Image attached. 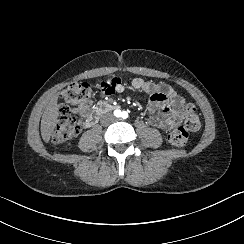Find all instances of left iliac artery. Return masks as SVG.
I'll list each match as a JSON object with an SVG mask.
<instances>
[{
	"instance_id": "44dca946",
	"label": "left iliac artery",
	"mask_w": 244,
	"mask_h": 244,
	"mask_svg": "<svg viewBox=\"0 0 244 244\" xmlns=\"http://www.w3.org/2000/svg\"><path fill=\"white\" fill-rule=\"evenodd\" d=\"M128 112H126V111H123L122 112V114H121V117L123 118V119H126V118H128Z\"/></svg>"
}]
</instances>
